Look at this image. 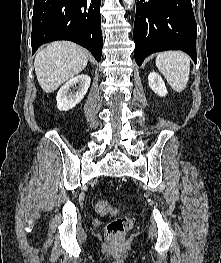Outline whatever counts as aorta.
I'll use <instances>...</instances> for the list:
<instances>
[{"instance_id": "aorta-1", "label": "aorta", "mask_w": 221, "mask_h": 263, "mask_svg": "<svg viewBox=\"0 0 221 263\" xmlns=\"http://www.w3.org/2000/svg\"><path fill=\"white\" fill-rule=\"evenodd\" d=\"M123 2L127 5V6H132L135 2V0H123Z\"/></svg>"}]
</instances>
